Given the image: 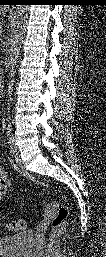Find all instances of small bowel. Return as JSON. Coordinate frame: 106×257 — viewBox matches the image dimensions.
<instances>
[{"mask_svg":"<svg viewBox=\"0 0 106 257\" xmlns=\"http://www.w3.org/2000/svg\"><path fill=\"white\" fill-rule=\"evenodd\" d=\"M11 182L8 179L4 168L1 166L0 168V198L1 200L7 193L8 189L10 188Z\"/></svg>","mask_w":106,"mask_h":257,"instance_id":"1","label":"small bowel"}]
</instances>
